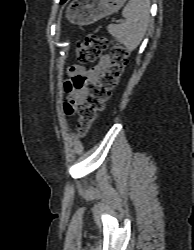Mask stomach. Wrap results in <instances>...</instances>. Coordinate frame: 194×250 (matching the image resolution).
<instances>
[{"instance_id": "obj_1", "label": "stomach", "mask_w": 194, "mask_h": 250, "mask_svg": "<svg viewBox=\"0 0 194 250\" xmlns=\"http://www.w3.org/2000/svg\"><path fill=\"white\" fill-rule=\"evenodd\" d=\"M126 0H73L67 8V19L77 25H88L117 12Z\"/></svg>"}]
</instances>
